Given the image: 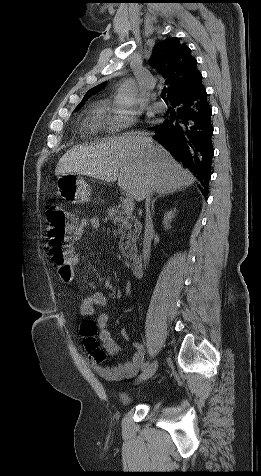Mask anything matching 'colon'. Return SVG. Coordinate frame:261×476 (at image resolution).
Masks as SVG:
<instances>
[{
	"mask_svg": "<svg viewBox=\"0 0 261 476\" xmlns=\"http://www.w3.org/2000/svg\"><path fill=\"white\" fill-rule=\"evenodd\" d=\"M47 219V251L50 260L64 281H70L73 269L70 265L71 242L75 238L77 221L69 214L62 204L51 203L46 209ZM95 326L92 320H85L81 325V333L85 338L88 351L92 352L98 361H103L105 353L99 349L95 339Z\"/></svg>",
	"mask_w": 261,
	"mask_h": 476,
	"instance_id": "1",
	"label": "colon"
}]
</instances>
